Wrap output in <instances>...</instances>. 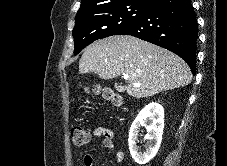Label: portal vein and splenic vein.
I'll return each mask as SVG.
<instances>
[{
	"label": "portal vein and splenic vein",
	"instance_id": "obj_1",
	"mask_svg": "<svg viewBox=\"0 0 227 166\" xmlns=\"http://www.w3.org/2000/svg\"><path fill=\"white\" fill-rule=\"evenodd\" d=\"M124 79L125 80H127L128 79V75H124ZM133 85H135V86H139L138 84H136V83H133Z\"/></svg>",
	"mask_w": 227,
	"mask_h": 166
}]
</instances>
